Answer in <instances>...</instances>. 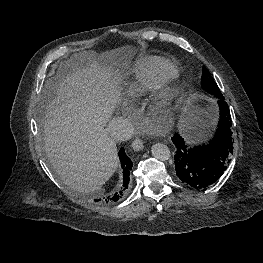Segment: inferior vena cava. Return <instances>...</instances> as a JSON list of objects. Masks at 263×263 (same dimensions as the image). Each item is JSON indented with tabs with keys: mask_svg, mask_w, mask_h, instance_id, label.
Wrapping results in <instances>:
<instances>
[{
	"mask_svg": "<svg viewBox=\"0 0 263 263\" xmlns=\"http://www.w3.org/2000/svg\"><path fill=\"white\" fill-rule=\"evenodd\" d=\"M106 131L115 141H126L132 137L134 127L128 119L116 117L108 122Z\"/></svg>",
	"mask_w": 263,
	"mask_h": 263,
	"instance_id": "1",
	"label": "inferior vena cava"
}]
</instances>
